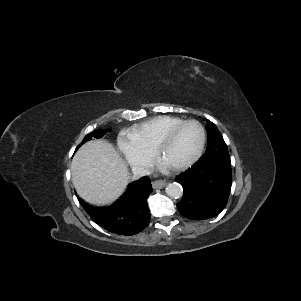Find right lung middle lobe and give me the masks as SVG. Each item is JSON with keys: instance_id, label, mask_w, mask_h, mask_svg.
<instances>
[{"instance_id": "right-lung-middle-lobe-1", "label": "right lung middle lobe", "mask_w": 301, "mask_h": 301, "mask_svg": "<svg viewBox=\"0 0 301 301\" xmlns=\"http://www.w3.org/2000/svg\"><path fill=\"white\" fill-rule=\"evenodd\" d=\"M106 132V130H99V131H96L94 133H91V134H88L84 139L83 141L81 142V144L77 147V149L82 145L84 144L85 142L91 140L93 137L94 138H100L104 135V133Z\"/></svg>"}]
</instances>
